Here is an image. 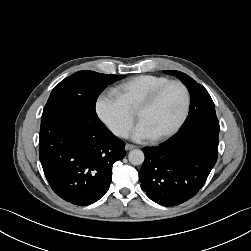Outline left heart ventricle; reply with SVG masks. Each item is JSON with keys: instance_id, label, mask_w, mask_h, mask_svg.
I'll return each mask as SVG.
<instances>
[{"instance_id": "left-heart-ventricle-1", "label": "left heart ventricle", "mask_w": 251, "mask_h": 251, "mask_svg": "<svg viewBox=\"0 0 251 251\" xmlns=\"http://www.w3.org/2000/svg\"><path fill=\"white\" fill-rule=\"evenodd\" d=\"M184 107V92L178 85L169 86L151 108L139 114V122L153 137L170 130L178 121Z\"/></svg>"}]
</instances>
